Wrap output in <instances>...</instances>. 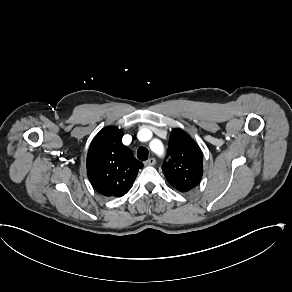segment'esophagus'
Masks as SVG:
<instances>
[{
	"label": "esophagus",
	"instance_id": "1",
	"mask_svg": "<svg viewBox=\"0 0 292 292\" xmlns=\"http://www.w3.org/2000/svg\"><path fill=\"white\" fill-rule=\"evenodd\" d=\"M156 163L155 158H150L147 161H144V165H154Z\"/></svg>",
	"mask_w": 292,
	"mask_h": 292
}]
</instances>
